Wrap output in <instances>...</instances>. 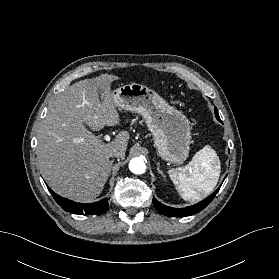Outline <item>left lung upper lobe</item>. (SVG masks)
<instances>
[{
	"instance_id": "1",
	"label": "left lung upper lobe",
	"mask_w": 279,
	"mask_h": 279,
	"mask_svg": "<svg viewBox=\"0 0 279 279\" xmlns=\"http://www.w3.org/2000/svg\"><path fill=\"white\" fill-rule=\"evenodd\" d=\"M214 112H215L216 117H218L220 119L217 108H214Z\"/></svg>"
}]
</instances>
